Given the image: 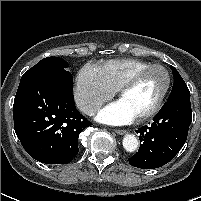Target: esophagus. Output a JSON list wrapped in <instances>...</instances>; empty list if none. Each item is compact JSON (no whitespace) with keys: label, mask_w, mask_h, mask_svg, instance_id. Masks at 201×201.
Wrapping results in <instances>:
<instances>
[{"label":"esophagus","mask_w":201,"mask_h":201,"mask_svg":"<svg viewBox=\"0 0 201 201\" xmlns=\"http://www.w3.org/2000/svg\"><path fill=\"white\" fill-rule=\"evenodd\" d=\"M115 132L119 135L125 134L127 131L124 129H115Z\"/></svg>","instance_id":"obj_1"}]
</instances>
